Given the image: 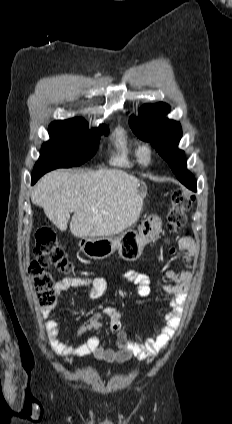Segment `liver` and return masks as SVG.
<instances>
[{
    "mask_svg": "<svg viewBox=\"0 0 232 424\" xmlns=\"http://www.w3.org/2000/svg\"><path fill=\"white\" fill-rule=\"evenodd\" d=\"M139 187L137 177L119 169H57L38 181L31 201L60 231H66L73 212L69 228L75 237H104L119 234L137 221L146 195V189Z\"/></svg>",
    "mask_w": 232,
    "mask_h": 424,
    "instance_id": "obj_1",
    "label": "liver"
}]
</instances>
